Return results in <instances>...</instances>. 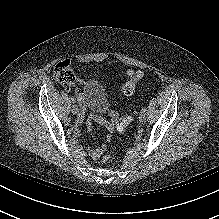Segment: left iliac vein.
Instances as JSON below:
<instances>
[{"mask_svg":"<svg viewBox=\"0 0 219 219\" xmlns=\"http://www.w3.org/2000/svg\"><path fill=\"white\" fill-rule=\"evenodd\" d=\"M139 121L140 123H144L146 121V112H140Z\"/></svg>","mask_w":219,"mask_h":219,"instance_id":"1","label":"left iliac vein"}]
</instances>
